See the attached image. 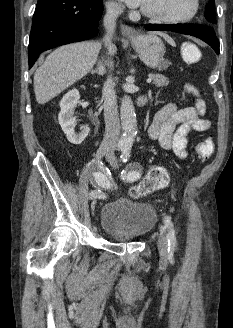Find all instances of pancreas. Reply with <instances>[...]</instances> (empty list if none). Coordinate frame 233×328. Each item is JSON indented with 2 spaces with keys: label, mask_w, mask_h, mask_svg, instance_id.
I'll return each mask as SVG.
<instances>
[{
  "label": "pancreas",
  "mask_w": 233,
  "mask_h": 328,
  "mask_svg": "<svg viewBox=\"0 0 233 328\" xmlns=\"http://www.w3.org/2000/svg\"><path fill=\"white\" fill-rule=\"evenodd\" d=\"M151 77H152V80H153V84L156 87H164V86H167L169 84L168 79L164 75L152 74Z\"/></svg>",
  "instance_id": "pancreas-1"
}]
</instances>
